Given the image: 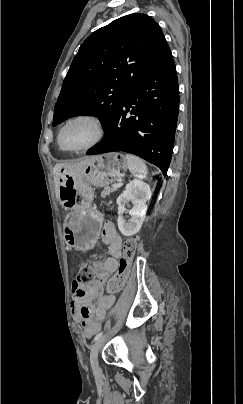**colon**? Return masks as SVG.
Masks as SVG:
<instances>
[{"mask_svg":"<svg viewBox=\"0 0 243 404\" xmlns=\"http://www.w3.org/2000/svg\"><path fill=\"white\" fill-rule=\"evenodd\" d=\"M137 249V241L135 239L127 240L123 245V252L118 262V268L114 276L108 283V291L113 293L121 290L126 284L129 277V270ZM96 270L88 263L80 268L77 281L81 284H87L95 280Z\"/></svg>","mask_w":243,"mask_h":404,"instance_id":"obj_1","label":"colon"}]
</instances>
